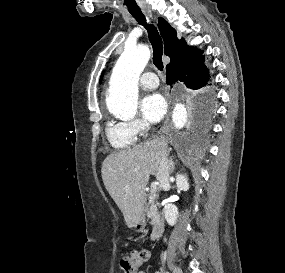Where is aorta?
<instances>
[{"instance_id":"1","label":"aorta","mask_w":285,"mask_h":273,"mask_svg":"<svg viewBox=\"0 0 285 273\" xmlns=\"http://www.w3.org/2000/svg\"><path fill=\"white\" fill-rule=\"evenodd\" d=\"M150 59L147 46L125 47L118 58L110 78L106 105L109 112L120 118H132L137 112L138 81ZM174 125L183 127L186 109L177 104L173 113Z\"/></svg>"}]
</instances>
